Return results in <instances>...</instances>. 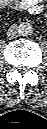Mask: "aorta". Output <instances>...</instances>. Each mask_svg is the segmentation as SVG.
I'll use <instances>...</instances> for the list:
<instances>
[{"instance_id":"1","label":"aorta","mask_w":47,"mask_h":129,"mask_svg":"<svg viewBox=\"0 0 47 129\" xmlns=\"http://www.w3.org/2000/svg\"><path fill=\"white\" fill-rule=\"evenodd\" d=\"M32 32H33V28L31 26V24H29L27 22L21 23L18 27V33L21 36H29L32 34Z\"/></svg>"}]
</instances>
